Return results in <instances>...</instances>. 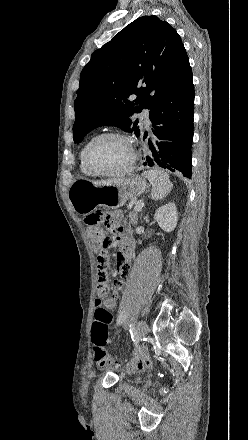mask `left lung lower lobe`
<instances>
[{"label": "left lung lower lobe", "mask_w": 248, "mask_h": 440, "mask_svg": "<svg viewBox=\"0 0 248 440\" xmlns=\"http://www.w3.org/2000/svg\"><path fill=\"white\" fill-rule=\"evenodd\" d=\"M194 96L191 80L171 91L150 115L157 141L155 146L149 142L151 154L144 158V166L178 171L191 179Z\"/></svg>", "instance_id": "obj_1"}]
</instances>
